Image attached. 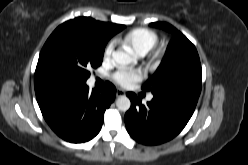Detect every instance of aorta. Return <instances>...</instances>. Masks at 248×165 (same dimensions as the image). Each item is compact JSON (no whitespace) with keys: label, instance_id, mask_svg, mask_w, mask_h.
Masks as SVG:
<instances>
[{"label":"aorta","instance_id":"aorta-1","mask_svg":"<svg viewBox=\"0 0 248 165\" xmlns=\"http://www.w3.org/2000/svg\"><path fill=\"white\" fill-rule=\"evenodd\" d=\"M112 57L113 60L119 65H127L134 61V58L129 53L122 50L113 52ZM116 106L119 110L126 112L131 106L130 99L124 95L119 96L116 100Z\"/></svg>","mask_w":248,"mask_h":165}]
</instances>
